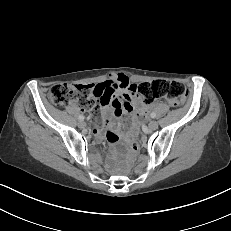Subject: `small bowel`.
Here are the masks:
<instances>
[{
    "label": "small bowel",
    "mask_w": 231,
    "mask_h": 231,
    "mask_svg": "<svg viewBox=\"0 0 231 231\" xmlns=\"http://www.w3.org/2000/svg\"><path fill=\"white\" fill-rule=\"evenodd\" d=\"M92 94L103 105L101 114L104 120L93 124V131L97 135L104 134L107 141L115 143L118 138V119L124 113H136L142 116L146 113L144 106L138 107V88L130 83L123 73L115 74L110 79L92 84Z\"/></svg>",
    "instance_id": "c3829d8e"
}]
</instances>
